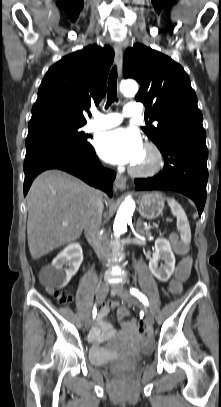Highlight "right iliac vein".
<instances>
[{"label":"right iliac vein","instance_id":"1","mask_svg":"<svg viewBox=\"0 0 221 407\" xmlns=\"http://www.w3.org/2000/svg\"><path fill=\"white\" fill-rule=\"evenodd\" d=\"M108 290H109V286L107 283H102L99 286L97 293H96V301H97L98 305H100L103 302ZM91 324H92V320H91V315L89 314L85 320L86 330H88L90 328Z\"/></svg>","mask_w":221,"mask_h":407}]
</instances>
